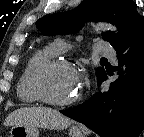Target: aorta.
<instances>
[{
    "mask_svg": "<svg viewBox=\"0 0 144 137\" xmlns=\"http://www.w3.org/2000/svg\"><path fill=\"white\" fill-rule=\"evenodd\" d=\"M97 28H100V29H108V30H111L115 33H117V28L113 25H110V24H107V23H100L97 25Z\"/></svg>",
    "mask_w": 144,
    "mask_h": 137,
    "instance_id": "1",
    "label": "aorta"
}]
</instances>
